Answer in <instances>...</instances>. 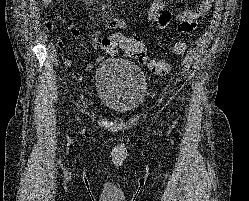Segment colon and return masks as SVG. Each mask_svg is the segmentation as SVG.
<instances>
[{
	"mask_svg": "<svg viewBox=\"0 0 249 201\" xmlns=\"http://www.w3.org/2000/svg\"><path fill=\"white\" fill-rule=\"evenodd\" d=\"M101 48L109 55L122 50L128 57L145 64L156 75H166L171 71V63L167 60H150L145 53L144 43L138 38H131L112 34L104 37L100 42ZM186 50V44L182 41L173 45V53L182 55Z\"/></svg>",
	"mask_w": 249,
	"mask_h": 201,
	"instance_id": "colon-1",
	"label": "colon"
}]
</instances>
